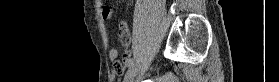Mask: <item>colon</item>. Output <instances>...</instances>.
I'll return each mask as SVG.
<instances>
[{
    "instance_id": "colon-1",
    "label": "colon",
    "mask_w": 279,
    "mask_h": 82,
    "mask_svg": "<svg viewBox=\"0 0 279 82\" xmlns=\"http://www.w3.org/2000/svg\"><path fill=\"white\" fill-rule=\"evenodd\" d=\"M122 23V22H121ZM120 65L115 66V68H118Z\"/></svg>"
}]
</instances>
